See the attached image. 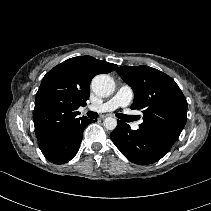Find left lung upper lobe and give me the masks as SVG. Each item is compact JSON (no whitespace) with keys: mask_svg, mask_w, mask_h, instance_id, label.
<instances>
[{"mask_svg":"<svg viewBox=\"0 0 211 211\" xmlns=\"http://www.w3.org/2000/svg\"><path fill=\"white\" fill-rule=\"evenodd\" d=\"M134 91L131 109L142 110L140 129L171 149L187 121V101L176 82L149 66H122L116 69Z\"/></svg>","mask_w":211,"mask_h":211,"instance_id":"1","label":"left lung upper lobe"}]
</instances>
